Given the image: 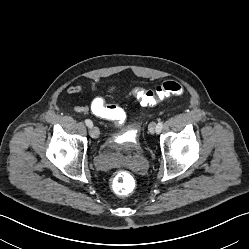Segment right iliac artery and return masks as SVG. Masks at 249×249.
<instances>
[{"instance_id":"82829eb1","label":"right iliac artery","mask_w":249,"mask_h":249,"mask_svg":"<svg viewBox=\"0 0 249 249\" xmlns=\"http://www.w3.org/2000/svg\"><path fill=\"white\" fill-rule=\"evenodd\" d=\"M85 124H86L88 127H92V126H93L92 121L89 120V119L85 120Z\"/></svg>"}]
</instances>
